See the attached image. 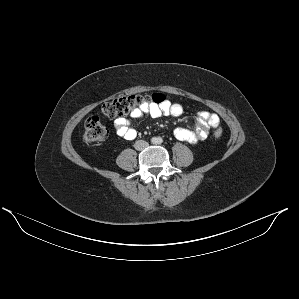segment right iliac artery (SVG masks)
I'll use <instances>...</instances> for the list:
<instances>
[{"label":"right iliac artery","instance_id":"obj_1","mask_svg":"<svg viewBox=\"0 0 299 299\" xmlns=\"http://www.w3.org/2000/svg\"><path fill=\"white\" fill-rule=\"evenodd\" d=\"M151 143H152V144H156V143H157V138H152V139H151Z\"/></svg>","mask_w":299,"mask_h":299}]
</instances>
